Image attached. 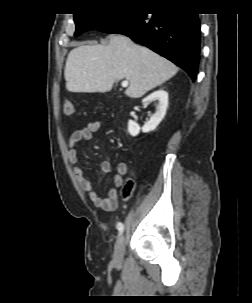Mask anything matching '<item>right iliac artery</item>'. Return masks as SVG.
<instances>
[{
    "instance_id": "82829eb1",
    "label": "right iliac artery",
    "mask_w": 252,
    "mask_h": 303,
    "mask_svg": "<svg viewBox=\"0 0 252 303\" xmlns=\"http://www.w3.org/2000/svg\"><path fill=\"white\" fill-rule=\"evenodd\" d=\"M117 228H118V231H119V235L122 234L123 230H124V224L119 222L117 224Z\"/></svg>"
}]
</instances>
